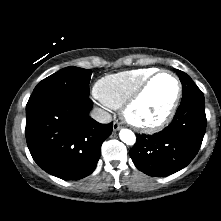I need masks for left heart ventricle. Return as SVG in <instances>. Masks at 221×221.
<instances>
[{"mask_svg":"<svg viewBox=\"0 0 221 221\" xmlns=\"http://www.w3.org/2000/svg\"><path fill=\"white\" fill-rule=\"evenodd\" d=\"M176 94V83L168 74L158 76L131 110L134 120L152 123L162 118Z\"/></svg>","mask_w":221,"mask_h":221,"instance_id":"obj_1","label":"left heart ventricle"}]
</instances>
